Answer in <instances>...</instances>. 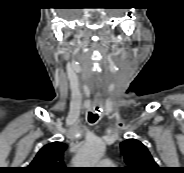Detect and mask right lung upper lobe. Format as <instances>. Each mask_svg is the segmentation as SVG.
Here are the masks:
<instances>
[{
    "label": "right lung upper lobe",
    "instance_id": "right-lung-upper-lobe-1",
    "mask_svg": "<svg viewBox=\"0 0 184 173\" xmlns=\"http://www.w3.org/2000/svg\"><path fill=\"white\" fill-rule=\"evenodd\" d=\"M67 145L53 142L43 146L34 160L24 169L25 173H67L64 165V151Z\"/></svg>",
    "mask_w": 184,
    "mask_h": 173
}]
</instances>
